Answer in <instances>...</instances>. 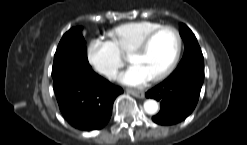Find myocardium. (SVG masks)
<instances>
[{"instance_id": "obj_1", "label": "myocardium", "mask_w": 247, "mask_h": 145, "mask_svg": "<svg viewBox=\"0 0 247 145\" xmlns=\"http://www.w3.org/2000/svg\"><path fill=\"white\" fill-rule=\"evenodd\" d=\"M164 30H169V31L174 33V35L176 37V50H175L174 56H173L172 60L170 61V63L163 70H161L159 73L154 75L151 78L152 81H159V80L163 79L164 77L169 75L173 71V69L176 67V65L180 59L181 52H182V46H183V40H182V36H181L179 30L177 28L171 26V25H162V26L152 30L147 35H145L130 50V53H129V57H130V55H132V54L141 53V52L145 51L148 48V46L150 45L153 38L157 34H159L160 32H162ZM129 61H130V59H129Z\"/></svg>"}]
</instances>
